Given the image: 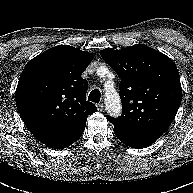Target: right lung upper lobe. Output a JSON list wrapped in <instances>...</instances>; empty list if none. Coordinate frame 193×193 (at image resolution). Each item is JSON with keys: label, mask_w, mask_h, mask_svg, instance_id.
Masks as SVG:
<instances>
[{"label": "right lung upper lobe", "mask_w": 193, "mask_h": 193, "mask_svg": "<svg viewBox=\"0 0 193 193\" xmlns=\"http://www.w3.org/2000/svg\"><path fill=\"white\" fill-rule=\"evenodd\" d=\"M93 55L59 45L29 61L16 89V105L28 130L40 142L67 138L84 130L97 107L86 101L82 72Z\"/></svg>", "instance_id": "right-lung-upper-lobe-1"}]
</instances>
